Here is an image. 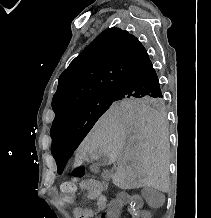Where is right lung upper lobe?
Wrapping results in <instances>:
<instances>
[{
    "label": "right lung upper lobe",
    "mask_w": 211,
    "mask_h": 218,
    "mask_svg": "<svg viewBox=\"0 0 211 218\" xmlns=\"http://www.w3.org/2000/svg\"><path fill=\"white\" fill-rule=\"evenodd\" d=\"M148 58L135 36L119 28L106 29L59 77L52 100L55 119L91 98L117 92L125 78Z\"/></svg>",
    "instance_id": "obj_1"
}]
</instances>
